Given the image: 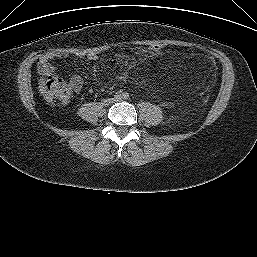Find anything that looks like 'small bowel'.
Listing matches in <instances>:
<instances>
[{
	"label": "small bowel",
	"instance_id": "small-bowel-1",
	"mask_svg": "<svg viewBox=\"0 0 257 257\" xmlns=\"http://www.w3.org/2000/svg\"><path fill=\"white\" fill-rule=\"evenodd\" d=\"M57 57L65 58L64 55L58 56L54 53H47L40 58L37 68H38V72L41 76L47 77L55 72V68L52 65L51 61L56 59ZM88 58L91 60H94V59H96V55L89 54ZM69 86L74 92H77V93L80 92L82 89V86H83L82 77L78 74L71 75V77L69 78Z\"/></svg>",
	"mask_w": 257,
	"mask_h": 257
}]
</instances>
